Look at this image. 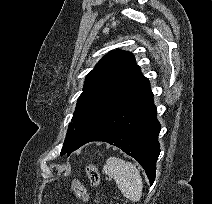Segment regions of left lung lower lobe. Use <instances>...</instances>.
Listing matches in <instances>:
<instances>
[{
  "label": "left lung lower lobe",
  "mask_w": 212,
  "mask_h": 204,
  "mask_svg": "<svg viewBox=\"0 0 212 204\" xmlns=\"http://www.w3.org/2000/svg\"><path fill=\"white\" fill-rule=\"evenodd\" d=\"M159 132L153 93L147 81L78 135L68 155L88 142H107L135 158L144 168L152 185L160 154Z\"/></svg>",
  "instance_id": "0a47b994"
}]
</instances>
